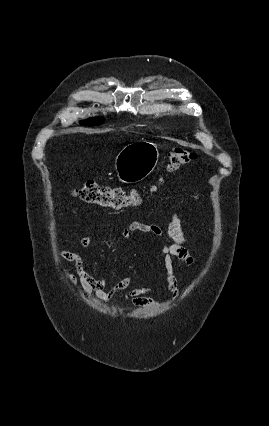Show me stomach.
<instances>
[{
	"label": "stomach",
	"mask_w": 269,
	"mask_h": 426,
	"mask_svg": "<svg viewBox=\"0 0 269 426\" xmlns=\"http://www.w3.org/2000/svg\"><path fill=\"white\" fill-rule=\"evenodd\" d=\"M157 145L138 140L125 146L115 159V171L123 183L140 182L149 176L158 163Z\"/></svg>",
	"instance_id": "0dacf381"
}]
</instances>
